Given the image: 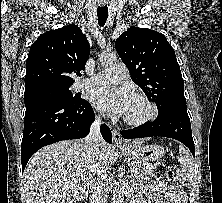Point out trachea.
<instances>
[{
  "instance_id": "1",
  "label": "trachea",
  "mask_w": 222,
  "mask_h": 203,
  "mask_svg": "<svg viewBox=\"0 0 222 203\" xmlns=\"http://www.w3.org/2000/svg\"><path fill=\"white\" fill-rule=\"evenodd\" d=\"M97 17H98V24L100 27H103L107 21L108 17V7L107 5L98 7L97 9Z\"/></svg>"
}]
</instances>
